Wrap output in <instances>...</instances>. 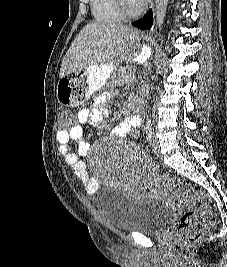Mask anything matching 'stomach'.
Returning <instances> with one entry per match:
<instances>
[{
    "instance_id": "stomach-1",
    "label": "stomach",
    "mask_w": 227,
    "mask_h": 267,
    "mask_svg": "<svg viewBox=\"0 0 227 267\" xmlns=\"http://www.w3.org/2000/svg\"><path fill=\"white\" fill-rule=\"evenodd\" d=\"M148 57L149 51L145 47L142 52L136 53L132 60L142 63ZM117 66L118 61H115L66 73V77H60L56 101H61V107L81 106L89 99V94L95 93L106 84Z\"/></svg>"
}]
</instances>
